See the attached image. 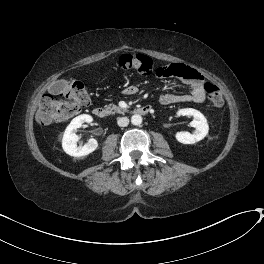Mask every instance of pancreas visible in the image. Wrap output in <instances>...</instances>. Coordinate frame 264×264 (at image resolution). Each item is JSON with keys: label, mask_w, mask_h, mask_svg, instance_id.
<instances>
[{"label": "pancreas", "mask_w": 264, "mask_h": 264, "mask_svg": "<svg viewBox=\"0 0 264 264\" xmlns=\"http://www.w3.org/2000/svg\"><path fill=\"white\" fill-rule=\"evenodd\" d=\"M106 110L108 114H116V113L122 114L125 111L121 107L114 105V104H109L106 107Z\"/></svg>", "instance_id": "1"}]
</instances>
